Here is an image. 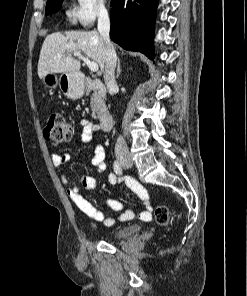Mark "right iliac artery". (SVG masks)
I'll return each instance as SVG.
<instances>
[{
  "label": "right iliac artery",
  "mask_w": 247,
  "mask_h": 296,
  "mask_svg": "<svg viewBox=\"0 0 247 296\" xmlns=\"http://www.w3.org/2000/svg\"><path fill=\"white\" fill-rule=\"evenodd\" d=\"M113 167H114V171L116 174H118V175L122 174V168H121L120 164L118 163V161L114 162Z\"/></svg>",
  "instance_id": "right-iliac-artery-1"
}]
</instances>
